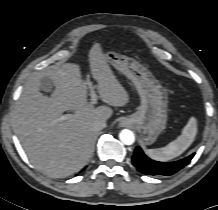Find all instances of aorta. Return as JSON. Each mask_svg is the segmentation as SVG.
<instances>
[{
	"mask_svg": "<svg viewBox=\"0 0 218 210\" xmlns=\"http://www.w3.org/2000/svg\"><path fill=\"white\" fill-rule=\"evenodd\" d=\"M119 138L125 145H132L135 141L134 133L128 129L122 130L119 134Z\"/></svg>",
	"mask_w": 218,
	"mask_h": 210,
	"instance_id": "762f6f07",
	"label": "aorta"
}]
</instances>
